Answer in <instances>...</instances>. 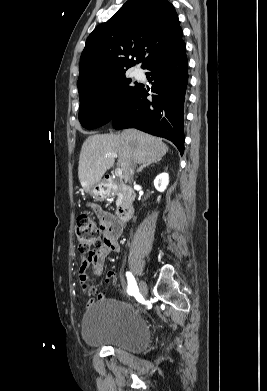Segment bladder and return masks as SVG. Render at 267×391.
I'll return each instance as SVG.
<instances>
[{
    "label": "bladder",
    "mask_w": 267,
    "mask_h": 391,
    "mask_svg": "<svg viewBox=\"0 0 267 391\" xmlns=\"http://www.w3.org/2000/svg\"><path fill=\"white\" fill-rule=\"evenodd\" d=\"M81 334L89 346L131 353L143 351L151 338L146 320L124 302L112 298L98 301L87 310Z\"/></svg>",
    "instance_id": "31cf9c89"
}]
</instances>
